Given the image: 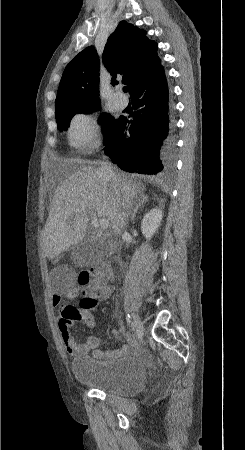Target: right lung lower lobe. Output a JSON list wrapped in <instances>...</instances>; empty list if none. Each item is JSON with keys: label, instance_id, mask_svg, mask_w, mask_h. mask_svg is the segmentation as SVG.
<instances>
[{"label": "right lung lower lobe", "instance_id": "1", "mask_svg": "<svg viewBox=\"0 0 245 450\" xmlns=\"http://www.w3.org/2000/svg\"><path fill=\"white\" fill-rule=\"evenodd\" d=\"M131 98L136 111L129 134L125 133L128 120L121 117L105 151L122 170L158 176L171 173L175 144L163 67L138 84Z\"/></svg>", "mask_w": 245, "mask_h": 450}]
</instances>
